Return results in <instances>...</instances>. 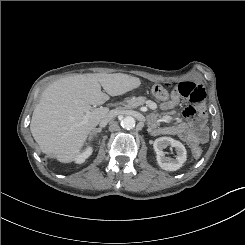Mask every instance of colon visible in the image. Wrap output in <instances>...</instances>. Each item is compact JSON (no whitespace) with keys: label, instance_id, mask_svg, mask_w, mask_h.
<instances>
[{"label":"colon","instance_id":"obj_1","mask_svg":"<svg viewBox=\"0 0 245 245\" xmlns=\"http://www.w3.org/2000/svg\"><path fill=\"white\" fill-rule=\"evenodd\" d=\"M151 91L153 95L160 101H166L169 98L170 91H166L164 89V85H154ZM191 155L194 159H199L202 155V149L200 147L192 148Z\"/></svg>","mask_w":245,"mask_h":245}]
</instances>
